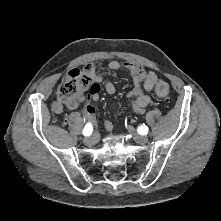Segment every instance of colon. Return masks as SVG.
<instances>
[{"mask_svg": "<svg viewBox=\"0 0 221 221\" xmlns=\"http://www.w3.org/2000/svg\"><path fill=\"white\" fill-rule=\"evenodd\" d=\"M94 84L86 71L73 69L64 77L58 90V97L61 101L78 100L83 97L90 85ZM169 85L165 81L157 82L155 93L161 98H168Z\"/></svg>", "mask_w": 221, "mask_h": 221, "instance_id": "obj_1", "label": "colon"}]
</instances>
